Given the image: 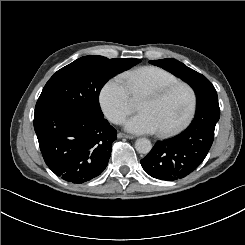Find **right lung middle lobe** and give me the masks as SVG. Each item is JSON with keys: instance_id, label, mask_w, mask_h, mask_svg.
<instances>
[{"instance_id": "dd1d6c3e", "label": "right lung middle lobe", "mask_w": 245, "mask_h": 245, "mask_svg": "<svg viewBox=\"0 0 245 245\" xmlns=\"http://www.w3.org/2000/svg\"><path fill=\"white\" fill-rule=\"evenodd\" d=\"M140 62V59L81 57L58 70L46 83L36 103L35 113L69 109L94 118H103L99 93L109 78Z\"/></svg>"}]
</instances>
